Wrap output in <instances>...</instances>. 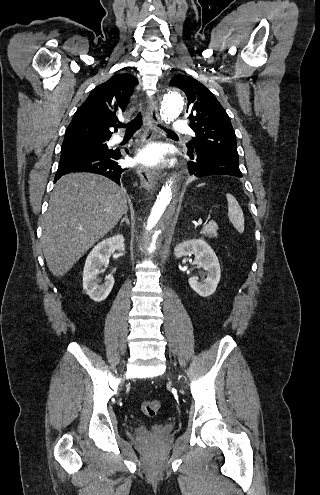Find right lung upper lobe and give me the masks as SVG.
I'll list each match as a JSON object with an SVG mask.
<instances>
[{"instance_id": "right-lung-upper-lobe-1", "label": "right lung upper lobe", "mask_w": 320, "mask_h": 495, "mask_svg": "<svg viewBox=\"0 0 320 495\" xmlns=\"http://www.w3.org/2000/svg\"><path fill=\"white\" fill-rule=\"evenodd\" d=\"M138 80L131 74H115L96 86L77 109L64 141L83 138H110V128L124 112Z\"/></svg>"}]
</instances>
